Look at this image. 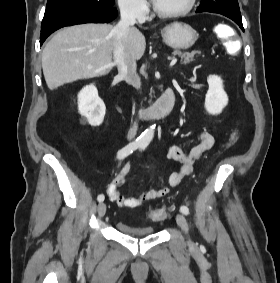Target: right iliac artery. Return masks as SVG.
<instances>
[{"label": "right iliac artery", "instance_id": "right-iliac-artery-1", "mask_svg": "<svg viewBox=\"0 0 280 283\" xmlns=\"http://www.w3.org/2000/svg\"><path fill=\"white\" fill-rule=\"evenodd\" d=\"M143 144L140 141H134L132 143H129L127 146L123 147L122 149H120L117 153V158L118 159H124L125 157H127L128 155H130L133 151H135L136 149L140 148ZM104 195L100 194L97 197L98 202H102L104 201Z\"/></svg>", "mask_w": 280, "mask_h": 283}]
</instances>
